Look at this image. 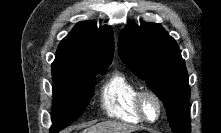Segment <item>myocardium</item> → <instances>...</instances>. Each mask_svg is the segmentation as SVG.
<instances>
[{
  "instance_id": "1",
  "label": "myocardium",
  "mask_w": 221,
  "mask_h": 133,
  "mask_svg": "<svg viewBox=\"0 0 221 133\" xmlns=\"http://www.w3.org/2000/svg\"><path fill=\"white\" fill-rule=\"evenodd\" d=\"M147 100H152L157 107V115L153 119L148 117L146 113L145 104ZM135 109L141 120L150 124L158 122L161 119L164 110L161 98L151 90H142L137 94L135 98Z\"/></svg>"
}]
</instances>
